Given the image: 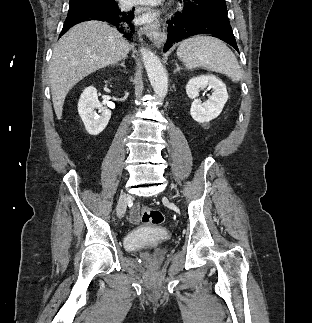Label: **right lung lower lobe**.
Instances as JSON below:
<instances>
[{"label": "right lung lower lobe", "instance_id": "right-lung-lower-lobe-1", "mask_svg": "<svg viewBox=\"0 0 312 323\" xmlns=\"http://www.w3.org/2000/svg\"><path fill=\"white\" fill-rule=\"evenodd\" d=\"M133 17V11H120L115 1L76 8L69 11L60 36L77 23L88 20H99L110 23L118 31L127 34V37H129L134 32V26L132 24Z\"/></svg>", "mask_w": 312, "mask_h": 323}]
</instances>
